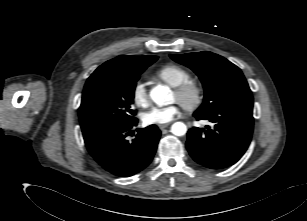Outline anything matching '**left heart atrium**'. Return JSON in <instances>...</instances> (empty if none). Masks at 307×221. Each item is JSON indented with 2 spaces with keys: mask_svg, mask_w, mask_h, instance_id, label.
<instances>
[{
  "mask_svg": "<svg viewBox=\"0 0 307 221\" xmlns=\"http://www.w3.org/2000/svg\"><path fill=\"white\" fill-rule=\"evenodd\" d=\"M180 114V105L172 103L168 106L154 107L143 116V121L148 125H161L174 120Z\"/></svg>",
  "mask_w": 307,
  "mask_h": 221,
  "instance_id": "left-heart-atrium-1",
  "label": "left heart atrium"
}]
</instances>
